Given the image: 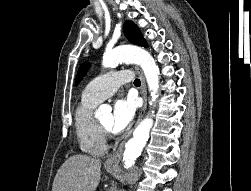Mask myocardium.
I'll use <instances>...</instances> for the list:
<instances>
[{
	"label": "myocardium",
	"instance_id": "obj_1",
	"mask_svg": "<svg viewBox=\"0 0 251 191\" xmlns=\"http://www.w3.org/2000/svg\"><path fill=\"white\" fill-rule=\"evenodd\" d=\"M97 123L105 135H108L110 133L109 128L105 127L101 122H97Z\"/></svg>",
	"mask_w": 251,
	"mask_h": 191
}]
</instances>
